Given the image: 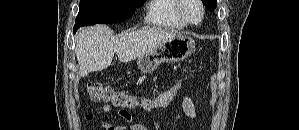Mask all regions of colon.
<instances>
[{"mask_svg": "<svg viewBox=\"0 0 299 130\" xmlns=\"http://www.w3.org/2000/svg\"><path fill=\"white\" fill-rule=\"evenodd\" d=\"M186 79L178 80L153 98L139 99L138 97L124 92L109 85L99 82H89L87 92L93 101L110 102L116 107L133 108L141 106L151 110L169 105L182 91Z\"/></svg>", "mask_w": 299, "mask_h": 130, "instance_id": "obj_1", "label": "colon"}]
</instances>
